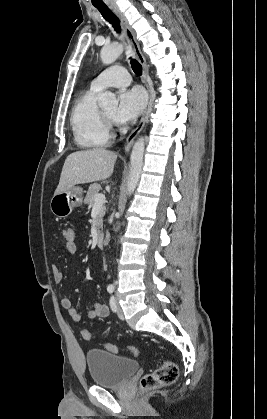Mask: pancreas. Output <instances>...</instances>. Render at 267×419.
Wrapping results in <instances>:
<instances>
[{
    "label": "pancreas",
    "mask_w": 267,
    "mask_h": 419,
    "mask_svg": "<svg viewBox=\"0 0 267 419\" xmlns=\"http://www.w3.org/2000/svg\"><path fill=\"white\" fill-rule=\"evenodd\" d=\"M101 186L97 183L91 184L87 191L84 203L88 205V209L92 208L95 204V195L99 193ZM105 214V208L102 207L96 220V227L99 229L102 226V218Z\"/></svg>",
    "instance_id": "1"
}]
</instances>
